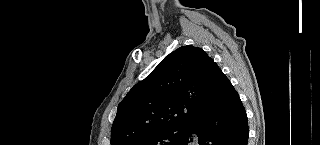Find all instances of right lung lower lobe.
Instances as JSON below:
<instances>
[{
	"label": "right lung lower lobe",
	"mask_w": 320,
	"mask_h": 145,
	"mask_svg": "<svg viewBox=\"0 0 320 145\" xmlns=\"http://www.w3.org/2000/svg\"><path fill=\"white\" fill-rule=\"evenodd\" d=\"M216 94V101L210 111L187 124L176 145H247V115L226 76L222 77Z\"/></svg>",
	"instance_id": "obj_1"
}]
</instances>
